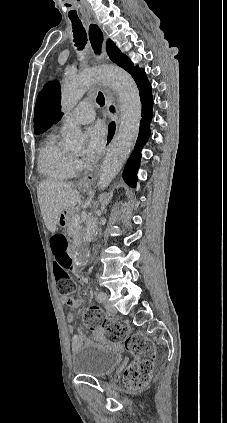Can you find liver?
<instances>
[{"label":"liver","mask_w":227,"mask_h":423,"mask_svg":"<svg viewBox=\"0 0 227 423\" xmlns=\"http://www.w3.org/2000/svg\"><path fill=\"white\" fill-rule=\"evenodd\" d=\"M40 210L49 231H56L60 213L80 202V194L66 182H55V180H43L37 188Z\"/></svg>","instance_id":"1"}]
</instances>
